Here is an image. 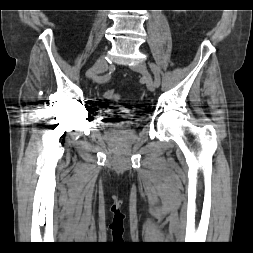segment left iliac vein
Wrapping results in <instances>:
<instances>
[{
	"label": "left iliac vein",
	"instance_id": "4c4485c4",
	"mask_svg": "<svg viewBox=\"0 0 253 253\" xmlns=\"http://www.w3.org/2000/svg\"><path fill=\"white\" fill-rule=\"evenodd\" d=\"M132 69L134 71H137L139 73L142 74L143 79L146 83V86L148 88L149 91H154L156 86L154 84V81L152 79L151 74L149 73L148 69H147V65L145 62L140 61L137 64H135L134 66H132Z\"/></svg>",
	"mask_w": 253,
	"mask_h": 253
}]
</instances>
